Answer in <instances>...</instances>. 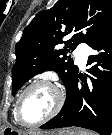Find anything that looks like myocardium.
<instances>
[{"label":"myocardium","instance_id":"obj_1","mask_svg":"<svg viewBox=\"0 0 112 135\" xmlns=\"http://www.w3.org/2000/svg\"><path fill=\"white\" fill-rule=\"evenodd\" d=\"M38 85H46V86L51 87L56 92L58 99H57V103H56L55 107L47 116H45L37 121H29L22 114V100H23V97L25 96V94L31 88L38 86ZM64 101H65L64 93L57 84H55L54 82H52L51 80H48V79H37V80L31 82L30 84H28L19 94V96L16 100V104H15V115L21 125L26 126V127H35V126L41 125V124L51 120L52 118H54L61 111V109L64 105Z\"/></svg>","mask_w":112,"mask_h":135}]
</instances>
